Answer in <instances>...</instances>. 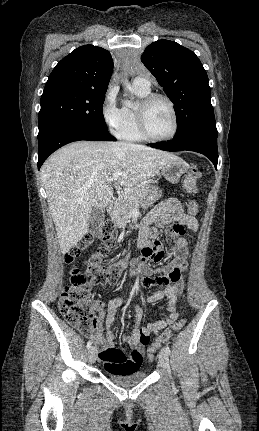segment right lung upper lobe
I'll use <instances>...</instances> for the list:
<instances>
[{"label": "right lung upper lobe", "instance_id": "1", "mask_svg": "<svg viewBox=\"0 0 259 431\" xmlns=\"http://www.w3.org/2000/svg\"><path fill=\"white\" fill-rule=\"evenodd\" d=\"M112 72L113 59L109 51L84 45L58 62L44 91L60 87L104 92L107 91Z\"/></svg>", "mask_w": 259, "mask_h": 431}]
</instances>
